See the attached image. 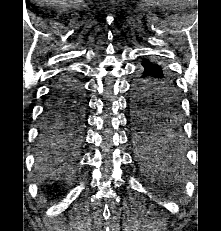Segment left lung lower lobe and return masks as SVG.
Wrapping results in <instances>:
<instances>
[{
	"mask_svg": "<svg viewBox=\"0 0 221 231\" xmlns=\"http://www.w3.org/2000/svg\"><path fill=\"white\" fill-rule=\"evenodd\" d=\"M147 60H143L145 62ZM142 62V63H143ZM149 62V61H148ZM149 64H141V67L137 69L135 73L134 80L132 82V97L131 103L134 100H139L141 98V90L153 86H158L155 84V80L158 77L157 72L148 66ZM169 100H162L157 97L149 99L148 103L152 107H163L168 104ZM172 131L165 132L163 134H156L154 137L149 138L145 142L137 144L140 146L144 153H147L148 156L152 155L157 156L159 160H169L179 156L182 152V145L179 141V129H180V120L171 125L170 128ZM146 163L149 160H144Z\"/></svg>",
	"mask_w": 221,
	"mask_h": 231,
	"instance_id": "obj_1",
	"label": "left lung lower lobe"
}]
</instances>
